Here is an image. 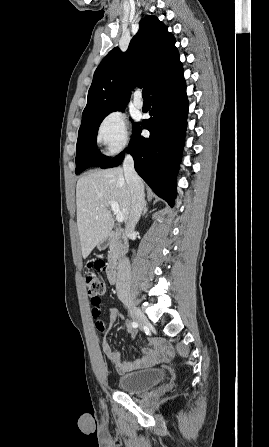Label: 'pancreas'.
<instances>
[{"label": "pancreas", "mask_w": 269, "mask_h": 447, "mask_svg": "<svg viewBox=\"0 0 269 447\" xmlns=\"http://www.w3.org/2000/svg\"><path fill=\"white\" fill-rule=\"evenodd\" d=\"M118 259V247L115 241L110 243L109 251H108V261L109 263H116Z\"/></svg>", "instance_id": "obj_1"}]
</instances>
